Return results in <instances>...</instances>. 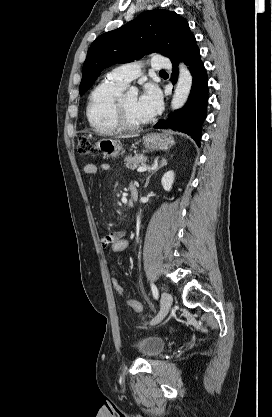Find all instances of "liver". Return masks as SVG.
Here are the masks:
<instances>
[{"instance_id":"liver-1","label":"liver","mask_w":272,"mask_h":417,"mask_svg":"<svg viewBox=\"0 0 272 417\" xmlns=\"http://www.w3.org/2000/svg\"><path fill=\"white\" fill-rule=\"evenodd\" d=\"M130 137H133V136H131V135L122 136V138H130Z\"/></svg>"}]
</instances>
